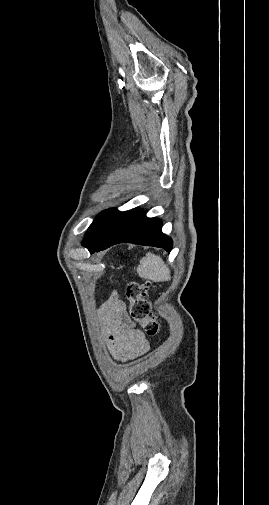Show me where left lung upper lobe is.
I'll list each match as a JSON object with an SVG mask.
<instances>
[{
  "label": "left lung upper lobe",
  "mask_w": 269,
  "mask_h": 505,
  "mask_svg": "<svg viewBox=\"0 0 269 505\" xmlns=\"http://www.w3.org/2000/svg\"><path fill=\"white\" fill-rule=\"evenodd\" d=\"M120 214L121 211L116 209H108L101 212L90 225L82 245L87 247L98 243L106 235Z\"/></svg>",
  "instance_id": "5c2ea615"
}]
</instances>
